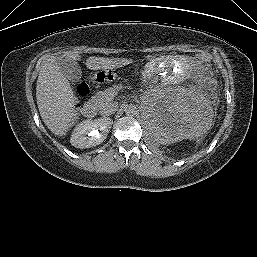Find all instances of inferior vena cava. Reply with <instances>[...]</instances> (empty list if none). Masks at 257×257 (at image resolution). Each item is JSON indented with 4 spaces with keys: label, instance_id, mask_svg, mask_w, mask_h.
Returning a JSON list of instances; mask_svg holds the SVG:
<instances>
[{
    "label": "inferior vena cava",
    "instance_id": "inferior-vena-cava-1",
    "mask_svg": "<svg viewBox=\"0 0 257 257\" xmlns=\"http://www.w3.org/2000/svg\"><path fill=\"white\" fill-rule=\"evenodd\" d=\"M118 109L117 103H107L104 107L101 108L100 113L103 116H109L116 112Z\"/></svg>",
    "mask_w": 257,
    "mask_h": 257
}]
</instances>
